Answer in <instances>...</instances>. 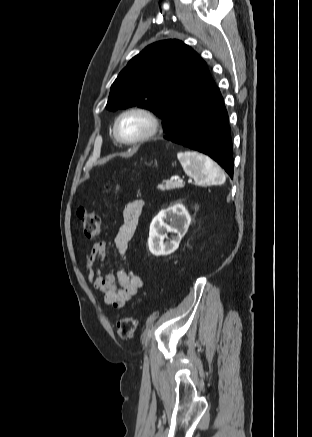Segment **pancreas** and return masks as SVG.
Here are the masks:
<instances>
[{
    "label": "pancreas",
    "instance_id": "pancreas-1",
    "mask_svg": "<svg viewBox=\"0 0 312 437\" xmlns=\"http://www.w3.org/2000/svg\"><path fill=\"white\" fill-rule=\"evenodd\" d=\"M184 184L178 182V181H166L165 184L158 185V189L161 191H168L173 189H180L183 188Z\"/></svg>",
    "mask_w": 312,
    "mask_h": 437
}]
</instances>
